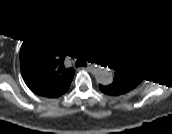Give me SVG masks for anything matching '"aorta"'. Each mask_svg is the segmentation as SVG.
<instances>
[{
	"label": "aorta",
	"instance_id": "obj_1",
	"mask_svg": "<svg viewBox=\"0 0 172 134\" xmlns=\"http://www.w3.org/2000/svg\"><path fill=\"white\" fill-rule=\"evenodd\" d=\"M98 67H99V69L96 71L97 78L100 81H105V76L107 75V71L103 67H100V66H98Z\"/></svg>",
	"mask_w": 172,
	"mask_h": 134
}]
</instances>
